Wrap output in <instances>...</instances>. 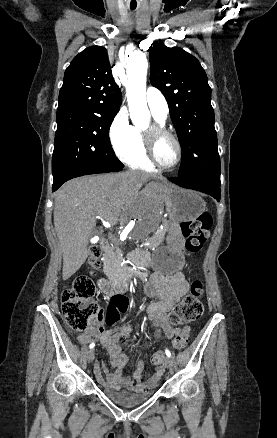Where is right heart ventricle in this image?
Here are the masks:
<instances>
[{
    "instance_id": "obj_1",
    "label": "right heart ventricle",
    "mask_w": 277,
    "mask_h": 438,
    "mask_svg": "<svg viewBox=\"0 0 277 438\" xmlns=\"http://www.w3.org/2000/svg\"><path fill=\"white\" fill-rule=\"evenodd\" d=\"M150 66V65H149ZM157 120V119H156ZM161 122L160 120H157ZM134 130V145L130 152L120 155L122 160L131 169L152 173L156 171V166L150 161L143 142V133L138 128Z\"/></svg>"
}]
</instances>
